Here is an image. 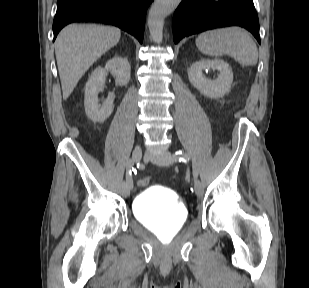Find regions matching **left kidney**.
Returning a JSON list of instances; mask_svg holds the SVG:
<instances>
[{"label":"left kidney","mask_w":309,"mask_h":288,"mask_svg":"<svg viewBox=\"0 0 309 288\" xmlns=\"http://www.w3.org/2000/svg\"><path fill=\"white\" fill-rule=\"evenodd\" d=\"M206 69L218 70L220 74L215 80L205 78L203 71ZM188 78L190 83L204 96L217 99L230 91L233 83V72L224 60L201 59L191 65L188 70Z\"/></svg>","instance_id":"left-kidney-1"}]
</instances>
